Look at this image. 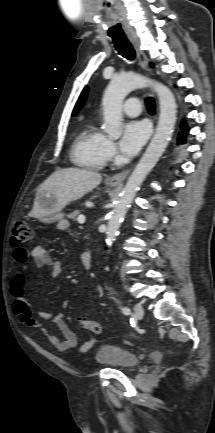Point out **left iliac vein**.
<instances>
[{
    "mask_svg": "<svg viewBox=\"0 0 215 433\" xmlns=\"http://www.w3.org/2000/svg\"><path fill=\"white\" fill-rule=\"evenodd\" d=\"M134 313H135L136 318H138V319H141L143 317L144 310H143V307L140 303H136L134 305Z\"/></svg>",
    "mask_w": 215,
    "mask_h": 433,
    "instance_id": "1",
    "label": "left iliac vein"
}]
</instances>
